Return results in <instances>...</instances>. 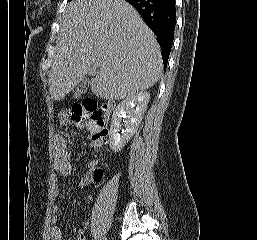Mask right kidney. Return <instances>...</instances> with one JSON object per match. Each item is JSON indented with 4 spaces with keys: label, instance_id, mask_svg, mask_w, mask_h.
Listing matches in <instances>:
<instances>
[{
    "label": "right kidney",
    "instance_id": "1",
    "mask_svg": "<svg viewBox=\"0 0 257 240\" xmlns=\"http://www.w3.org/2000/svg\"><path fill=\"white\" fill-rule=\"evenodd\" d=\"M149 99L150 94L141 91L127 97L116 107L109 132V143L113 151H121L138 130ZM122 125L125 129H121Z\"/></svg>",
    "mask_w": 257,
    "mask_h": 240
}]
</instances>
